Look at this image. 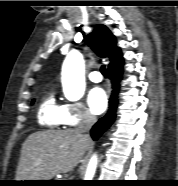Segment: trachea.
Listing matches in <instances>:
<instances>
[{"label": "trachea", "mask_w": 178, "mask_h": 186, "mask_svg": "<svg viewBox=\"0 0 178 186\" xmlns=\"http://www.w3.org/2000/svg\"><path fill=\"white\" fill-rule=\"evenodd\" d=\"M101 73L106 76V69H105V65H102L100 68Z\"/></svg>", "instance_id": "trachea-1"}]
</instances>
